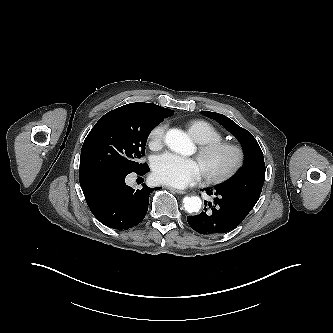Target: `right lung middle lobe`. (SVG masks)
<instances>
[{
  "mask_svg": "<svg viewBox=\"0 0 333 333\" xmlns=\"http://www.w3.org/2000/svg\"><path fill=\"white\" fill-rule=\"evenodd\" d=\"M165 118L139 109L117 108L108 112L83 143L79 171L95 168L139 171L146 165L138 159L145 153L147 138Z\"/></svg>",
  "mask_w": 333,
  "mask_h": 333,
  "instance_id": "dd1d6c3e",
  "label": "right lung middle lobe"
}]
</instances>
